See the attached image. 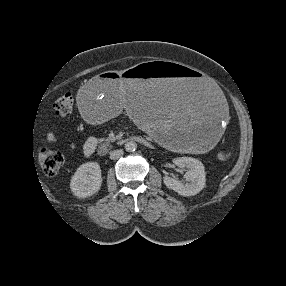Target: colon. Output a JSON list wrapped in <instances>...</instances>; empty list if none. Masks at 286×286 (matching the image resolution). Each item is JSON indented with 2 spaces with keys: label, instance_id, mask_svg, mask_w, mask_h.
Here are the masks:
<instances>
[{
  "label": "colon",
  "instance_id": "colon-1",
  "mask_svg": "<svg viewBox=\"0 0 286 286\" xmlns=\"http://www.w3.org/2000/svg\"><path fill=\"white\" fill-rule=\"evenodd\" d=\"M53 108L58 116L67 117L73 110V98L69 95H64L54 102ZM38 160L44 173L48 176L56 175L64 162L61 153L47 148L39 149Z\"/></svg>",
  "mask_w": 286,
  "mask_h": 286
}]
</instances>
